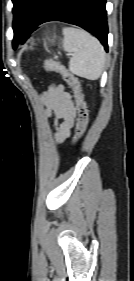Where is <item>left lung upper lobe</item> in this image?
Segmentation results:
<instances>
[{
    "label": "left lung upper lobe",
    "mask_w": 134,
    "mask_h": 281,
    "mask_svg": "<svg viewBox=\"0 0 134 281\" xmlns=\"http://www.w3.org/2000/svg\"><path fill=\"white\" fill-rule=\"evenodd\" d=\"M12 2L14 4L13 30H24L42 0H12Z\"/></svg>",
    "instance_id": "obj_1"
}]
</instances>
